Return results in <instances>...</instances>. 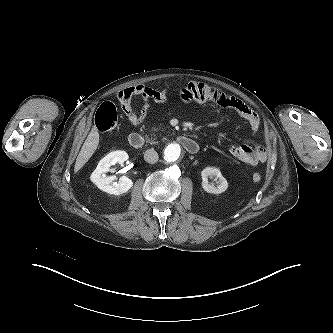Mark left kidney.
Masks as SVG:
<instances>
[{
	"label": "left kidney",
	"instance_id": "1",
	"mask_svg": "<svg viewBox=\"0 0 333 333\" xmlns=\"http://www.w3.org/2000/svg\"><path fill=\"white\" fill-rule=\"evenodd\" d=\"M202 176V188L207 193H213V194H220L222 192H225L228 188V182L227 180L222 176L220 170L215 167H206L201 172ZM208 177L215 178L217 182V186H215L213 183L208 182Z\"/></svg>",
	"mask_w": 333,
	"mask_h": 333
}]
</instances>
